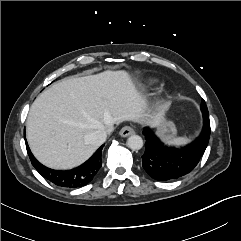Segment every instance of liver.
I'll return each instance as SVG.
<instances>
[{"instance_id": "liver-1", "label": "liver", "mask_w": 241, "mask_h": 241, "mask_svg": "<svg viewBox=\"0 0 241 241\" xmlns=\"http://www.w3.org/2000/svg\"><path fill=\"white\" fill-rule=\"evenodd\" d=\"M145 100L124 71L63 79L32 104L26 135L32 153L47 167L71 169L86 161L98 146L86 136L98 129L111 132L115 123L141 122ZM156 115L148 124L158 126Z\"/></svg>"}]
</instances>
